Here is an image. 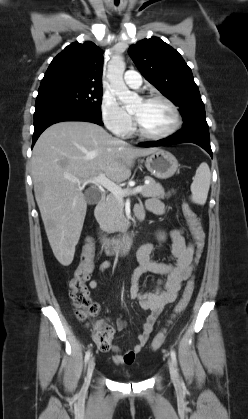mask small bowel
Here are the masks:
<instances>
[{
	"instance_id": "obj_1",
	"label": "small bowel",
	"mask_w": 248,
	"mask_h": 419,
	"mask_svg": "<svg viewBox=\"0 0 248 419\" xmlns=\"http://www.w3.org/2000/svg\"><path fill=\"white\" fill-rule=\"evenodd\" d=\"M145 208L156 215L165 213L164 204L156 198L149 199ZM170 237L171 247L165 260L153 259L157 251L151 243L141 245L137 251L136 258L139 266L133 271L131 276L129 297L136 301L143 310L150 313L143 324L142 332L137 336V342L130 350L123 352L112 341L106 345L98 346L100 352H113V362L117 365H131L134 363L136 355L141 352L147 343L163 307L176 300L183 282L192 276L196 263L194 245L185 240L183 230L180 228L173 229L170 232ZM111 267L112 262L105 260L98 266V272L102 274ZM147 274L162 276L164 279L158 280L151 291L142 292L139 283L142 277ZM89 287L91 289L97 288L98 280L91 279ZM125 326V321H117L119 330L125 328Z\"/></svg>"
}]
</instances>
